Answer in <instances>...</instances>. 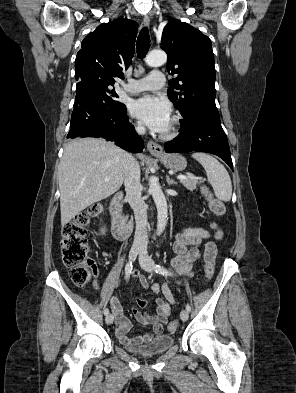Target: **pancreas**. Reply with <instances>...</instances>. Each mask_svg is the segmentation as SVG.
I'll list each match as a JSON object with an SVG mask.
<instances>
[{"mask_svg": "<svg viewBox=\"0 0 296 393\" xmlns=\"http://www.w3.org/2000/svg\"><path fill=\"white\" fill-rule=\"evenodd\" d=\"M180 182L190 191L197 188V185L201 182L200 178L188 177L187 179L180 180Z\"/></svg>", "mask_w": 296, "mask_h": 393, "instance_id": "1", "label": "pancreas"}]
</instances>
